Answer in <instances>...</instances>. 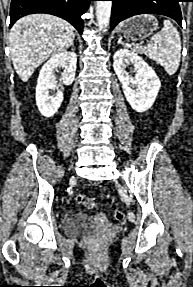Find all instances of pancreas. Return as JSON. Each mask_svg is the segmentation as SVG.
<instances>
[{
    "mask_svg": "<svg viewBox=\"0 0 193 287\" xmlns=\"http://www.w3.org/2000/svg\"><path fill=\"white\" fill-rule=\"evenodd\" d=\"M136 51L141 52V50H140V49H136Z\"/></svg>",
    "mask_w": 193,
    "mask_h": 287,
    "instance_id": "1",
    "label": "pancreas"
}]
</instances>
